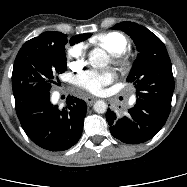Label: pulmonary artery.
<instances>
[{"instance_id":"pulmonary-artery-1","label":"pulmonary artery","mask_w":187,"mask_h":187,"mask_svg":"<svg viewBox=\"0 0 187 187\" xmlns=\"http://www.w3.org/2000/svg\"><path fill=\"white\" fill-rule=\"evenodd\" d=\"M135 101V98H133L132 100H131V102L133 103Z\"/></svg>"}]
</instances>
